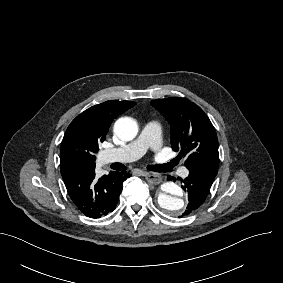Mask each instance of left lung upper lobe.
Returning <instances> with one entry per match:
<instances>
[{"label": "left lung upper lobe", "instance_id": "left-lung-upper-lobe-1", "mask_svg": "<svg viewBox=\"0 0 283 283\" xmlns=\"http://www.w3.org/2000/svg\"><path fill=\"white\" fill-rule=\"evenodd\" d=\"M171 125V144L185 166L219 168L218 139L204 111L186 98L170 97L151 102Z\"/></svg>", "mask_w": 283, "mask_h": 283}]
</instances>
